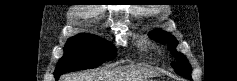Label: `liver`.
<instances>
[{
	"label": "liver",
	"mask_w": 237,
	"mask_h": 81,
	"mask_svg": "<svg viewBox=\"0 0 237 81\" xmlns=\"http://www.w3.org/2000/svg\"><path fill=\"white\" fill-rule=\"evenodd\" d=\"M144 69L145 68L141 66L132 67L131 79H134L133 81H143L144 79H147V77L156 74L151 70ZM122 75H124L123 68H115L109 70L73 73L66 75L62 81H124Z\"/></svg>",
	"instance_id": "6515ba94"
}]
</instances>
